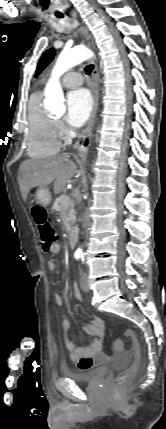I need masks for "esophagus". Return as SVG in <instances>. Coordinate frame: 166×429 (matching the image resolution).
Returning a JSON list of instances; mask_svg holds the SVG:
<instances>
[{
	"instance_id": "34e87169",
	"label": "esophagus",
	"mask_w": 166,
	"mask_h": 429,
	"mask_svg": "<svg viewBox=\"0 0 166 429\" xmlns=\"http://www.w3.org/2000/svg\"><path fill=\"white\" fill-rule=\"evenodd\" d=\"M72 17L76 18L77 13L76 12L72 13ZM82 32L86 35L87 39L92 40L91 44L94 47V41H93L92 36L89 33V30L86 26H83ZM98 79H99L98 67H97V64H94V68H93V72H92V84H91L92 93H93V108H92L90 118L86 124V127L84 128V130L81 134L79 141L85 140V138L90 133V130H91L93 123H94V120H95L96 111H97V107H98Z\"/></svg>"
}]
</instances>
